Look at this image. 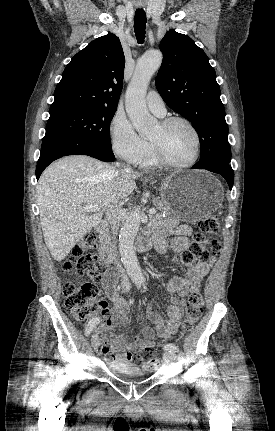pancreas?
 I'll return each instance as SVG.
<instances>
[{"label":"pancreas","instance_id":"1","mask_svg":"<svg viewBox=\"0 0 275 431\" xmlns=\"http://www.w3.org/2000/svg\"><path fill=\"white\" fill-rule=\"evenodd\" d=\"M153 204L159 211L165 213L166 215H169V207L166 205V203L162 199L153 198ZM158 215H160V214H158Z\"/></svg>","mask_w":275,"mask_h":431}]
</instances>
